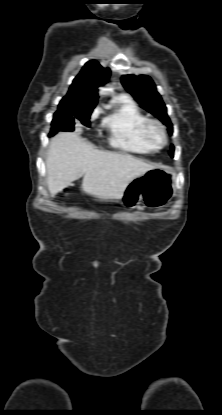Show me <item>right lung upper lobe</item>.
<instances>
[{"mask_svg":"<svg viewBox=\"0 0 222 415\" xmlns=\"http://www.w3.org/2000/svg\"><path fill=\"white\" fill-rule=\"evenodd\" d=\"M110 69L103 68L97 61L87 62L75 77L69 91L59 103V109L72 106H93L98 100V86L108 81Z\"/></svg>","mask_w":222,"mask_h":415,"instance_id":"right-lung-upper-lobe-1","label":"right lung upper lobe"}]
</instances>
